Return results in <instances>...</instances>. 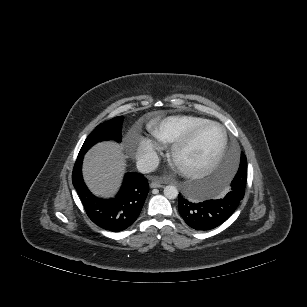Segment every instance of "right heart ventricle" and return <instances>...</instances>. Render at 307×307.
Segmentation results:
<instances>
[{
	"label": "right heart ventricle",
	"instance_id": "obj_1",
	"mask_svg": "<svg viewBox=\"0 0 307 307\" xmlns=\"http://www.w3.org/2000/svg\"><path fill=\"white\" fill-rule=\"evenodd\" d=\"M209 121L201 116L176 115L161 119L152 129V134L161 144H174L194 127Z\"/></svg>",
	"mask_w": 307,
	"mask_h": 307
}]
</instances>
